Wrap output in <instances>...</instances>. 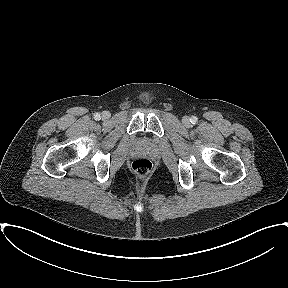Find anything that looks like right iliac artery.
<instances>
[{
	"label": "right iliac artery",
	"instance_id": "1",
	"mask_svg": "<svg viewBox=\"0 0 288 288\" xmlns=\"http://www.w3.org/2000/svg\"><path fill=\"white\" fill-rule=\"evenodd\" d=\"M94 118H95V120H99V119L101 118V116H100L99 113H96V114L94 115Z\"/></svg>",
	"mask_w": 288,
	"mask_h": 288
}]
</instances>
